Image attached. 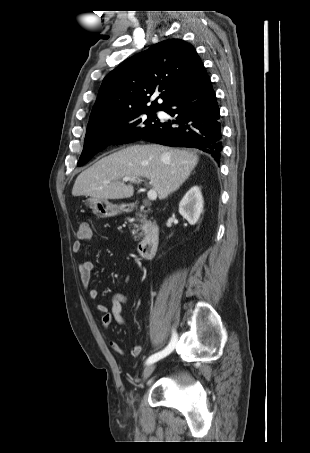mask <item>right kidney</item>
I'll return each mask as SVG.
<instances>
[{"label":"right kidney","mask_w":310,"mask_h":453,"mask_svg":"<svg viewBox=\"0 0 310 453\" xmlns=\"http://www.w3.org/2000/svg\"><path fill=\"white\" fill-rule=\"evenodd\" d=\"M203 197L198 186H193L179 203V213L190 225L196 224L203 211Z\"/></svg>","instance_id":"1"}]
</instances>
